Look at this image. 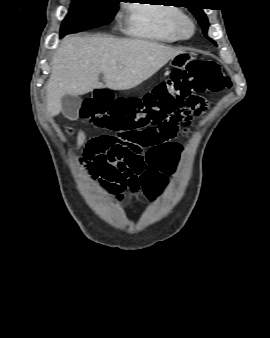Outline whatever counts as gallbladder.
I'll use <instances>...</instances> for the list:
<instances>
[{
  "instance_id": "obj_1",
  "label": "gallbladder",
  "mask_w": 270,
  "mask_h": 338,
  "mask_svg": "<svg viewBox=\"0 0 270 338\" xmlns=\"http://www.w3.org/2000/svg\"><path fill=\"white\" fill-rule=\"evenodd\" d=\"M62 113L65 117L75 120L78 117L82 99L79 96L66 94L61 98Z\"/></svg>"
}]
</instances>
